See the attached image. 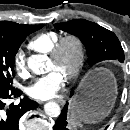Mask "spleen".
I'll list each match as a JSON object with an SVG mask.
<instances>
[{
    "label": "spleen",
    "instance_id": "obj_1",
    "mask_svg": "<svg viewBox=\"0 0 130 130\" xmlns=\"http://www.w3.org/2000/svg\"><path fill=\"white\" fill-rule=\"evenodd\" d=\"M70 123H71V125H73V126L81 125V122L78 121V120H76V118H75L74 116H71V117H70Z\"/></svg>",
    "mask_w": 130,
    "mask_h": 130
}]
</instances>
